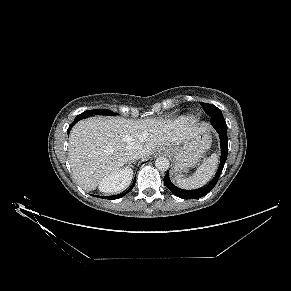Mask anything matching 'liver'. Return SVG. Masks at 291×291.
<instances>
[{"label":"liver","instance_id":"6515ba94","mask_svg":"<svg viewBox=\"0 0 291 291\" xmlns=\"http://www.w3.org/2000/svg\"><path fill=\"white\" fill-rule=\"evenodd\" d=\"M206 130L207 125L197 127L185 120L83 119L75 124L69 136L68 154L73 178L84 190H95L104 177L121 170L128 162L129 147H140L141 157L145 158L158 148L180 145ZM130 182L131 179L122 190Z\"/></svg>","mask_w":291,"mask_h":291}]
</instances>
